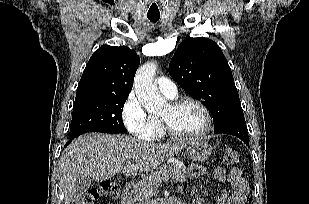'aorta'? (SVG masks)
<instances>
[{"label":"aorta","instance_id":"obj_1","mask_svg":"<svg viewBox=\"0 0 309 204\" xmlns=\"http://www.w3.org/2000/svg\"><path fill=\"white\" fill-rule=\"evenodd\" d=\"M157 64L147 62L136 72L134 78V89L136 96L142 106L150 113L161 111L166 101L158 92L157 86L153 83Z\"/></svg>","mask_w":309,"mask_h":204}]
</instances>
